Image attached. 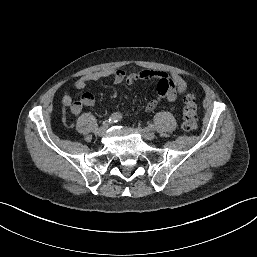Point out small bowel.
Here are the masks:
<instances>
[{
	"instance_id": "obj_1",
	"label": "small bowel",
	"mask_w": 257,
	"mask_h": 257,
	"mask_svg": "<svg viewBox=\"0 0 257 257\" xmlns=\"http://www.w3.org/2000/svg\"><path fill=\"white\" fill-rule=\"evenodd\" d=\"M104 78H111L114 84L126 83L128 85H133L139 81H155L157 83V95L146 105V112L153 111L164 98L170 102L176 101L187 89L186 81L179 74L169 75L164 71L151 69L130 74L121 69L98 70L79 77L74 82V87L82 90L89 82ZM62 102L65 106L70 107L73 114H79L84 106H93L95 104V97L92 93L85 92L78 101L73 102L71 95L65 93L62 97Z\"/></svg>"
}]
</instances>
